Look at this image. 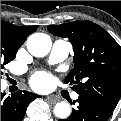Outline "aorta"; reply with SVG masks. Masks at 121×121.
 Masks as SVG:
<instances>
[{
  "mask_svg": "<svg viewBox=\"0 0 121 121\" xmlns=\"http://www.w3.org/2000/svg\"><path fill=\"white\" fill-rule=\"evenodd\" d=\"M51 39L47 34L34 33L27 39V49L35 57H44L51 49ZM70 105L67 102L57 103L54 107V114L60 119L70 115Z\"/></svg>",
  "mask_w": 121,
  "mask_h": 121,
  "instance_id": "obj_1",
  "label": "aorta"
}]
</instances>
